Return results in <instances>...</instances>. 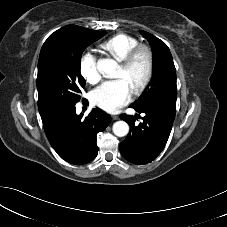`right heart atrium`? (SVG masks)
Wrapping results in <instances>:
<instances>
[{
  "label": "right heart atrium",
  "mask_w": 227,
  "mask_h": 227,
  "mask_svg": "<svg viewBox=\"0 0 227 227\" xmlns=\"http://www.w3.org/2000/svg\"><path fill=\"white\" fill-rule=\"evenodd\" d=\"M80 74L88 84H96L100 80L97 58L90 52L84 53L79 63Z\"/></svg>",
  "instance_id": "1"
}]
</instances>
